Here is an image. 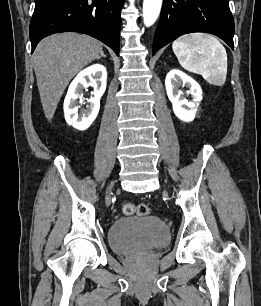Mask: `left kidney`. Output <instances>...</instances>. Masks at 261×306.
I'll return each instance as SVG.
<instances>
[{"label":"left kidney","instance_id":"left-kidney-1","mask_svg":"<svg viewBox=\"0 0 261 306\" xmlns=\"http://www.w3.org/2000/svg\"><path fill=\"white\" fill-rule=\"evenodd\" d=\"M181 85L190 88L191 100L188 101L182 96V92L179 90ZM165 87L174 114L184 122L193 121L202 100L200 85L185 73L179 70H171L166 76Z\"/></svg>","mask_w":261,"mask_h":306}]
</instances>
